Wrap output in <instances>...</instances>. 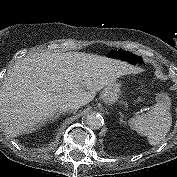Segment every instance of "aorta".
Masks as SVG:
<instances>
[{
  "label": "aorta",
  "instance_id": "obj_1",
  "mask_svg": "<svg viewBox=\"0 0 177 177\" xmlns=\"http://www.w3.org/2000/svg\"><path fill=\"white\" fill-rule=\"evenodd\" d=\"M86 124L92 129H99L104 125L102 116L91 113L86 116Z\"/></svg>",
  "mask_w": 177,
  "mask_h": 177
}]
</instances>
